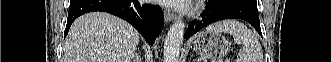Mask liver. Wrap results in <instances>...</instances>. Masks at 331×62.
<instances>
[{"label":"liver","mask_w":331,"mask_h":62,"mask_svg":"<svg viewBox=\"0 0 331 62\" xmlns=\"http://www.w3.org/2000/svg\"><path fill=\"white\" fill-rule=\"evenodd\" d=\"M139 33L124 20L103 12L77 18L65 39L62 62H131Z\"/></svg>","instance_id":"obj_1"}]
</instances>
